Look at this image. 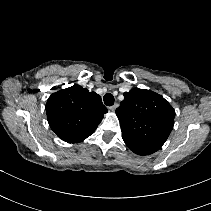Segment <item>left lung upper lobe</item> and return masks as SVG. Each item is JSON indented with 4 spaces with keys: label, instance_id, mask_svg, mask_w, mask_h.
Returning <instances> with one entry per match:
<instances>
[{
    "label": "left lung upper lobe",
    "instance_id": "left-lung-upper-lobe-1",
    "mask_svg": "<svg viewBox=\"0 0 211 211\" xmlns=\"http://www.w3.org/2000/svg\"><path fill=\"white\" fill-rule=\"evenodd\" d=\"M123 95L116 115L125 144L139 155L158 151L173 129L174 109L161 95L150 90L134 88Z\"/></svg>",
    "mask_w": 211,
    "mask_h": 211
}]
</instances>
